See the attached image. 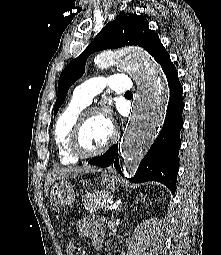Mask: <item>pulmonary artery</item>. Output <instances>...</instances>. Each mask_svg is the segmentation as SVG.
Masks as SVG:
<instances>
[{"instance_id": "1", "label": "pulmonary artery", "mask_w": 221, "mask_h": 255, "mask_svg": "<svg viewBox=\"0 0 221 255\" xmlns=\"http://www.w3.org/2000/svg\"><path fill=\"white\" fill-rule=\"evenodd\" d=\"M107 85L117 93H127L132 89V82L125 74H113L109 77H95L86 80L76 87L72 95V101L76 104L87 106Z\"/></svg>"}]
</instances>
